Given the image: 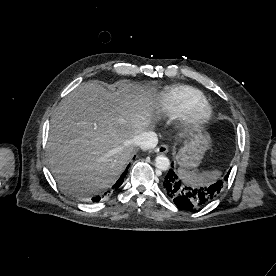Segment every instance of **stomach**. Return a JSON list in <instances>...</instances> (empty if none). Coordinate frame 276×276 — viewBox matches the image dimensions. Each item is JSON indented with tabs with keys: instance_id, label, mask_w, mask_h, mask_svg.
Returning <instances> with one entry per match:
<instances>
[{
	"instance_id": "stomach-1",
	"label": "stomach",
	"mask_w": 276,
	"mask_h": 276,
	"mask_svg": "<svg viewBox=\"0 0 276 276\" xmlns=\"http://www.w3.org/2000/svg\"><path fill=\"white\" fill-rule=\"evenodd\" d=\"M210 136L207 133L198 131L191 135V138L177 152L175 159L185 169L197 167L210 147Z\"/></svg>"
}]
</instances>
